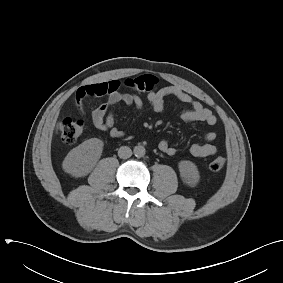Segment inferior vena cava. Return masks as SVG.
Instances as JSON below:
<instances>
[{"instance_id": "1", "label": "inferior vena cava", "mask_w": 283, "mask_h": 283, "mask_svg": "<svg viewBox=\"0 0 283 283\" xmlns=\"http://www.w3.org/2000/svg\"><path fill=\"white\" fill-rule=\"evenodd\" d=\"M131 155H132V150L127 146H122L118 150V156L122 159H127L131 157Z\"/></svg>"}]
</instances>
